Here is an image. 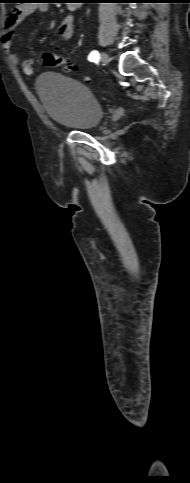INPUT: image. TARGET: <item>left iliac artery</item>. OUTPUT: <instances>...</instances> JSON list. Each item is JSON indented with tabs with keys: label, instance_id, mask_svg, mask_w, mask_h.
Segmentation results:
<instances>
[{
	"label": "left iliac artery",
	"instance_id": "left-iliac-artery-1",
	"mask_svg": "<svg viewBox=\"0 0 190 483\" xmlns=\"http://www.w3.org/2000/svg\"><path fill=\"white\" fill-rule=\"evenodd\" d=\"M99 57H100L99 52L94 50L89 54L88 59L89 61H96L99 59Z\"/></svg>",
	"mask_w": 190,
	"mask_h": 483
}]
</instances>
